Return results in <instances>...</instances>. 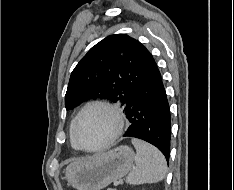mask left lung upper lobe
Listing matches in <instances>:
<instances>
[{
	"label": "left lung upper lobe",
	"mask_w": 234,
	"mask_h": 190,
	"mask_svg": "<svg viewBox=\"0 0 234 190\" xmlns=\"http://www.w3.org/2000/svg\"><path fill=\"white\" fill-rule=\"evenodd\" d=\"M145 47L126 34L107 36L80 60L71 73L65 107L74 108L91 98L120 102L126 109L142 85Z\"/></svg>",
	"instance_id": "left-lung-upper-lobe-1"
}]
</instances>
